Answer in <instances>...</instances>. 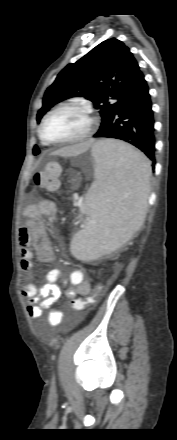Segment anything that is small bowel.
<instances>
[{"instance_id":"1","label":"small bowel","mask_w":177,"mask_h":440,"mask_svg":"<svg viewBox=\"0 0 177 440\" xmlns=\"http://www.w3.org/2000/svg\"><path fill=\"white\" fill-rule=\"evenodd\" d=\"M27 224L19 231L20 263L24 272L31 275L34 269V248L38 259L44 263H52L55 258L50 243L45 235V218H54L57 215L56 204L52 201L41 200L28 205L24 209ZM60 281L65 289V297L78 298L87 296L91 290L90 281L80 269L73 270L68 276L59 269H51L45 276V282L34 284L28 282L21 288L22 295L27 299V313L32 319L39 318L45 309L50 308L62 297V287L57 284ZM65 318V313L52 310L49 313V323L57 326Z\"/></svg>"}]
</instances>
